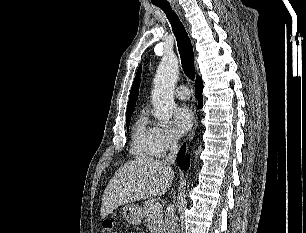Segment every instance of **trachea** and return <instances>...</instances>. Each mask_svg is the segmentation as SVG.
I'll return each instance as SVG.
<instances>
[{"label":"trachea","instance_id":"3493384b","mask_svg":"<svg viewBox=\"0 0 306 233\" xmlns=\"http://www.w3.org/2000/svg\"><path fill=\"white\" fill-rule=\"evenodd\" d=\"M155 5L165 12L169 22L171 23L178 44L183 71L189 79L193 80L195 78L194 52L185 27L169 4Z\"/></svg>","mask_w":306,"mask_h":233}]
</instances>
